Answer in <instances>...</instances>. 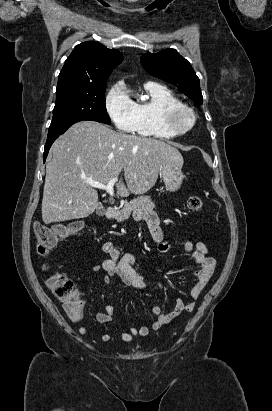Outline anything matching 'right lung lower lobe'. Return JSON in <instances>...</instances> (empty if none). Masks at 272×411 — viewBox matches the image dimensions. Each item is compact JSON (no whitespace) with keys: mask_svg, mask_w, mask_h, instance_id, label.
Wrapping results in <instances>:
<instances>
[{"mask_svg":"<svg viewBox=\"0 0 272 411\" xmlns=\"http://www.w3.org/2000/svg\"><path fill=\"white\" fill-rule=\"evenodd\" d=\"M58 137H59V135H58V136H55V137H52V138H47V141H46V144H45V147H44V161L46 160V157H47V155H48V152H49V149H50L52 143H53Z\"/></svg>","mask_w":272,"mask_h":411,"instance_id":"98d812e1","label":"right lung lower lobe"}]
</instances>
